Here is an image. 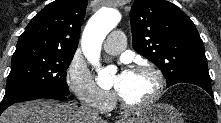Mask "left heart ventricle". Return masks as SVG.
I'll return each instance as SVG.
<instances>
[{"mask_svg":"<svg viewBox=\"0 0 221 123\" xmlns=\"http://www.w3.org/2000/svg\"><path fill=\"white\" fill-rule=\"evenodd\" d=\"M113 86L126 101L137 104L153 95L156 81L148 72L130 71L125 77L115 76Z\"/></svg>","mask_w":221,"mask_h":123,"instance_id":"1","label":"left heart ventricle"}]
</instances>
